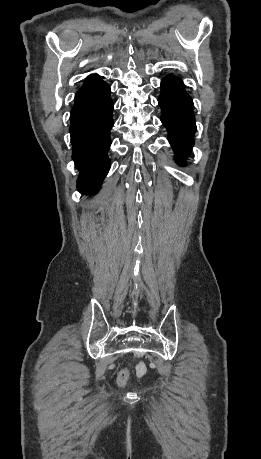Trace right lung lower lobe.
<instances>
[{"mask_svg":"<svg viewBox=\"0 0 261 459\" xmlns=\"http://www.w3.org/2000/svg\"><path fill=\"white\" fill-rule=\"evenodd\" d=\"M113 103L110 87L102 83L75 99L70 114L73 159L80 171L78 190L95 194L110 168L107 152L111 145Z\"/></svg>","mask_w":261,"mask_h":459,"instance_id":"98d812e1","label":"right lung lower lobe"}]
</instances>
